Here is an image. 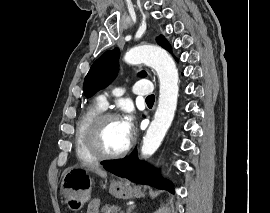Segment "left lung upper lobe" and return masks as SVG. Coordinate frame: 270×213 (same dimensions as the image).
I'll list each match as a JSON object with an SVG mask.
<instances>
[{
	"mask_svg": "<svg viewBox=\"0 0 270 213\" xmlns=\"http://www.w3.org/2000/svg\"><path fill=\"white\" fill-rule=\"evenodd\" d=\"M157 42L166 50L171 51L169 43L163 36L160 35ZM119 55L118 48L108 50L93 63L84 79V94L87 97L108 86L116 77ZM139 75L145 77L146 72L141 71Z\"/></svg>",
	"mask_w": 270,
	"mask_h": 213,
	"instance_id": "obj_1",
	"label": "left lung upper lobe"
}]
</instances>
